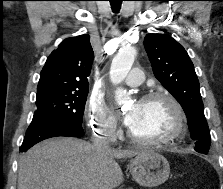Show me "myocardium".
Instances as JSON below:
<instances>
[{
    "label": "myocardium",
    "mask_w": 223,
    "mask_h": 189,
    "mask_svg": "<svg viewBox=\"0 0 223 189\" xmlns=\"http://www.w3.org/2000/svg\"><path fill=\"white\" fill-rule=\"evenodd\" d=\"M155 99H162L169 103L175 117L174 127L169 133L155 138H145L138 136L129 128L127 130V136L134 142L145 145L164 144L178 139L180 136L183 135L185 131L186 114L181 103L171 93L167 91L149 92L141 97L140 102H146Z\"/></svg>",
    "instance_id": "obj_1"
}]
</instances>
